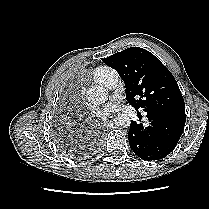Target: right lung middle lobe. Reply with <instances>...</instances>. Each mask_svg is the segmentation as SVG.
Returning <instances> with one entry per match:
<instances>
[{"mask_svg":"<svg viewBox=\"0 0 209 209\" xmlns=\"http://www.w3.org/2000/svg\"><path fill=\"white\" fill-rule=\"evenodd\" d=\"M71 146L66 145L65 143H61L60 144V148L63 152H65V154H67L70 157H76L78 155H80V152L77 151H73L72 148H70Z\"/></svg>","mask_w":209,"mask_h":209,"instance_id":"1","label":"right lung middle lobe"}]
</instances>
